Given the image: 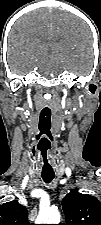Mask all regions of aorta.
Returning a JSON list of instances; mask_svg holds the SVG:
<instances>
[{
	"instance_id": "762f6f07",
	"label": "aorta",
	"mask_w": 101,
	"mask_h": 225,
	"mask_svg": "<svg viewBox=\"0 0 101 225\" xmlns=\"http://www.w3.org/2000/svg\"><path fill=\"white\" fill-rule=\"evenodd\" d=\"M60 213L55 208L41 211L37 217L36 224H59Z\"/></svg>"
}]
</instances>
